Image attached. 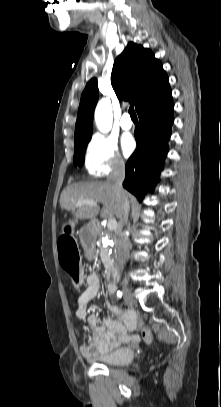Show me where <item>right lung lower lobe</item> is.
Here are the masks:
<instances>
[{
    "mask_svg": "<svg viewBox=\"0 0 221 407\" xmlns=\"http://www.w3.org/2000/svg\"><path fill=\"white\" fill-rule=\"evenodd\" d=\"M173 109L171 89L168 86L137 111L140 121L134 133L137 149L126 163L123 187L140 202L144 194L156 185L163 169L174 120Z\"/></svg>",
    "mask_w": 221,
    "mask_h": 407,
    "instance_id": "1",
    "label": "right lung lower lobe"
}]
</instances>
